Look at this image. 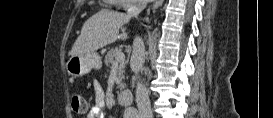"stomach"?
Returning <instances> with one entry per match:
<instances>
[{
    "mask_svg": "<svg viewBox=\"0 0 273 118\" xmlns=\"http://www.w3.org/2000/svg\"><path fill=\"white\" fill-rule=\"evenodd\" d=\"M101 67L102 59L97 52L71 56L66 64L68 74L73 77H82L92 69H100Z\"/></svg>",
    "mask_w": 273,
    "mask_h": 118,
    "instance_id": "0dacf381",
    "label": "stomach"
}]
</instances>
